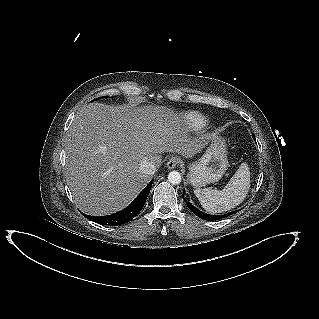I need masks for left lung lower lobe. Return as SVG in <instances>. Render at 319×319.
<instances>
[{"instance_id":"1","label":"left lung lower lobe","mask_w":319,"mask_h":319,"mask_svg":"<svg viewBox=\"0 0 319 319\" xmlns=\"http://www.w3.org/2000/svg\"><path fill=\"white\" fill-rule=\"evenodd\" d=\"M184 194V192H183ZM183 198H184V195H183ZM188 207L190 210H192V212L198 216L199 218L201 219H204V220H217V219H221V218H225L227 216H229L230 214H233V213H230V214H224V215H208V214H205L201 211H199L198 209H196L191 203H187ZM237 211H235L234 213H236Z\"/></svg>"}]
</instances>
